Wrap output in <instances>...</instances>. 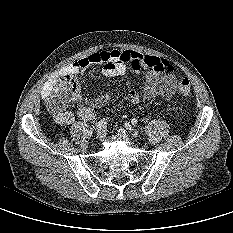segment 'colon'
Wrapping results in <instances>:
<instances>
[{
    "instance_id": "obj_1",
    "label": "colon",
    "mask_w": 233,
    "mask_h": 233,
    "mask_svg": "<svg viewBox=\"0 0 233 233\" xmlns=\"http://www.w3.org/2000/svg\"><path fill=\"white\" fill-rule=\"evenodd\" d=\"M178 91L184 96L191 92L190 81L182 77L177 82ZM80 89L77 81L72 76H66L59 80L52 97V107L55 110H63L67 103L77 101Z\"/></svg>"
}]
</instances>
